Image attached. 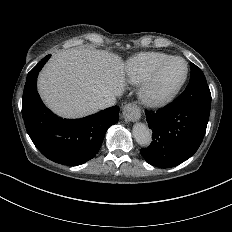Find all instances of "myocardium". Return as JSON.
<instances>
[{
	"instance_id": "myocardium-1",
	"label": "myocardium",
	"mask_w": 232,
	"mask_h": 232,
	"mask_svg": "<svg viewBox=\"0 0 232 232\" xmlns=\"http://www.w3.org/2000/svg\"><path fill=\"white\" fill-rule=\"evenodd\" d=\"M175 61H183L186 64V72L182 80L174 86L169 91L165 92L161 96L157 98H152L148 95L149 89L159 77V75L173 62ZM189 76V63L187 60L181 57H171L169 60L164 62L155 68L138 86L137 88V99L141 105L150 109H160L168 105L173 99L177 96L179 91L182 89L184 84L186 83Z\"/></svg>"
}]
</instances>
